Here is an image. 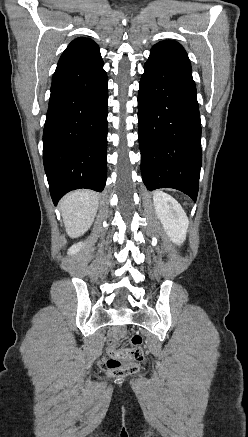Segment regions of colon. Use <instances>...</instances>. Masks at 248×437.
Masks as SVG:
<instances>
[{
    "mask_svg": "<svg viewBox=\"0 0 248 437\" xmlns=\"http://www.w3.org/2000/svg\"><path fill=\"white\" fill-rule=\"evenodd\" d=\"M129 342V348L120 351L118 354H114L115 342L110 341V355L102 358L100 362L102 370L110 377L120 378L134 373L138 370L139 364L144 360L142 336L140 334H134L130 337Z\"/></svg>",
    "mask_w": 248,
    "mask_h": 437,
    "instance_id": "colon-1",
    "label": "colon"
}]
</instances>
